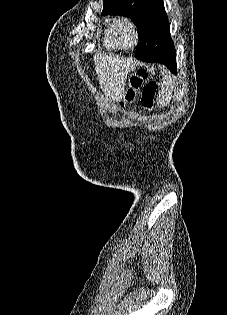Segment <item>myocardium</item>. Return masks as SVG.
<instances>
[{"mask_svg":"<svg viewBox=\"0 0 227 315\" xmlns=\"http://www.w3.org/2000/svg\"><path fill=\"white\" fill-rule=\"evenodd\" d=\"M126 30H129L133 37V42L130 45H127L124 42V32ZM116 36L119 46L125 50H132L136 48L140 42L138 27L135 21L131 18H122L120 21H118L116 25Z\"/></svg>","mask_w":227,"mask_h":315,"instance_id":"myocardium-1","label":"myocardium"}]
</instances>
